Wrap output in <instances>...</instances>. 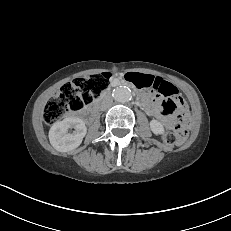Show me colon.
Listing matches in <instances>:
<instances>
[{"mask_svg":"<svg viewBox=\"0 0 231 231\" xmlns=\"http://www.w3.org/2000/svg\"><path fill=\"white\" fill-rule=\"evenodd\" d=\"M112 74L101 72L87 77H80L64 84L58 92L49 100L44 110V120L47 124H53L69 113L77 112L96 101L108 88ZM164 97L177 96V89L163 83L157 91ZM174 106L171 101L169 110ZM180 113L174 128L167 131L163 138L167 144L183 142L187 137L188 118L185 108H179Z\"/></svg>","mask_w":231,"mask_h":231,"instance_id":"obj_1","label":"colon"}]
</instances>
